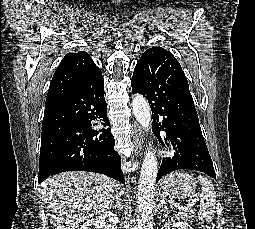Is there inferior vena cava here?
<instances>
[{"instance_id":"602c4592","label":"inferior vena cava","mask_w":255,"mask_h":229,"mask_svg":"<svg viewBox=\"0 0 255 229\" xmlns=\"http://www.w3.org/2000/svg\"><path fill=\"white\" fill-rule=\"evenodd\" d=\"M122 193H123V192H122ZM122 193H120L119 195L116 196L117 202L120 200V196L122 195Z\"/></svg>"}]
</instances>
